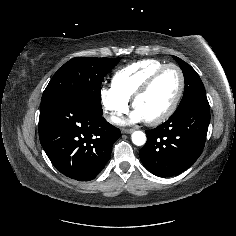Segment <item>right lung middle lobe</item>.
<instances>
[{
    "instance_id": "right-lung-middle-lobe-1",
    "label": "right lung middle lobe",
    "mask_w": 236,
    "mask_h": 236,
    "mask_svg": "<svg viewBox=\"0 0 236 236\" xmlns=\"http://www.w3.org/2000/svg\"><path fill=\"white\" fill-rule=\"evenodd\" d=\"M120 58L75 57L57 70L43 92L41 105L62 96L76 97L101 108L100 90L104 76Z\"/></svg>"
}]
</instances>
